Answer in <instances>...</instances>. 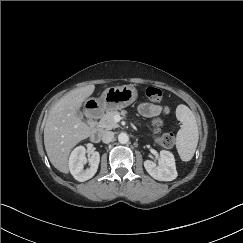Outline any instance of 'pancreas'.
<instances>
[{"instance_id": "1", "label": "pancreas", "mask_w": 243, "mask_h": 243, "mask_svg": "<svg viewBox=\"0 0 243 243\" xmlns=\"http://www.w3.org/2000/svg\"><path fill=\"white\" fill-rule=\"evenodd\" d=\"M125 115V111H107L99 121L101 130H111L119 127V124L114 120L116 115Z\"/></svg>"}]
</instances>
